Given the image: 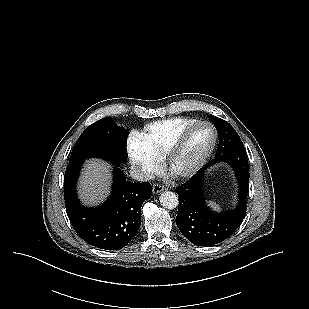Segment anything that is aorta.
I'll list each match as a JSON object with an SVG mask.
<instances>
[{
    "mask_svg": "<svg viewBox=\"0 0 309 309\" xmlns=\"http://www.w3.org/2000/svg\"><path fill=\"white\" fill-rule=\"evenodd\" d=\"M160 204L167 209H174L178 206V196L170 191H165L161 194L160 198Z\"/></svg>",
    "mask_w": 309,
    "mask_h": 309,
    "instance_id": "aorta-1",
    "label": "aorta"
}]
</instances>
